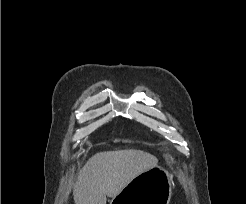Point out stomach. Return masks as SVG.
<instances>
[{
	"label": "stomach",
	"mask_w": 246,
	"mask_h": 204,
	"mask_svg": "<svg viewBox=\"0 0 246 204\" xmlns=\"http://www.w3.org/2000/svg\"><path fill=\"white\" fill-rule=\"evenodd\" d=\"M172 184L168 171L156 166L133 178L110 204H169Z\"/></svg>",
	"instance_id": "obj_1"
}]
</instances>
